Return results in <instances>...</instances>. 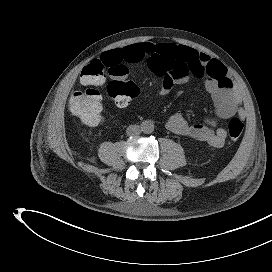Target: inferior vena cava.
<instances>
[{
    "label": "inferior vena cava",
    "instance_id": "inferior-vena-cava-1",
    "mask_svg": "<svg viewBox=\"0 0 272 272\" xmlns=\"http://www.w3.org/2000/svg\"><path fill=\"white\" fill-rule=\"evenodd\" d=\"M141 131H142V129L140 126L130 125L126 130V133H127V135H139L141 133Z\"/></svg>",
    "mask_w": 272,
    "mask_h": 272
}]
</instances>
